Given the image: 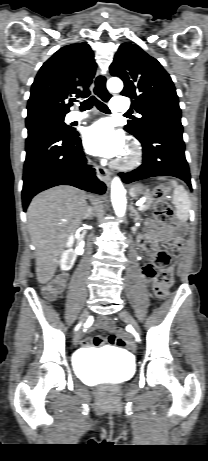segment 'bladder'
I'll list each match as a JSON object with an SVG mask.
<instances>
[{
	"label": "bladder",
	"mask_w": 208,
	"mask_h": 461,
	"mask_svg": "<svg viewBox=\"0 0 208 461\" xmlns=\"http://www.w3.org/2000/svg\"><path fill=\"white\" fill-rule=\"evenodd\" d=\"M93 357L84 352L74 360V369L83 380L92 383H122L131 378L134 365L130 357L110 351L103 352L100 359Z\"/></svg>",
	"instance_id": "bladder-1"
}]
</instances>
